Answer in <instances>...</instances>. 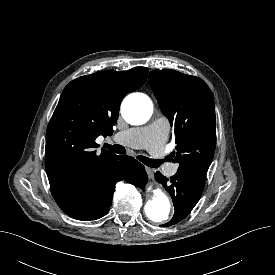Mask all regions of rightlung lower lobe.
<instances>
[{
  "mask_svg": "<svg viewBox=\"0 0 275 275\" xmlns=\"http://www.w3.org/2000/svg\"><path fill=\"white\" fill-rule=\"evenodd\" d=\"M120 180L143 188L147 182L144 166L130 156H117L102 173L90 178L81 186L70 205L61 209L77 220L99 219L109 211L116 182Z\"/></svg>",
  "mask_w": 275,
  "mask_h": 275,
  "instance_id": "98d812e1",
  "label": "right lung lower lobe"
}]
</instances>
